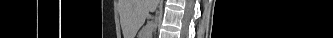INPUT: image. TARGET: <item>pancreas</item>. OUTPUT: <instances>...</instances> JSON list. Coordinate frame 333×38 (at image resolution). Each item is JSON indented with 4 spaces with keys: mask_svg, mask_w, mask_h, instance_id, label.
I'll return each mask as SVG.
<instances>
[{
    "mask_svg": "<svg viewBox=\"0 0 333 38\" xmlns=\"http://www.w3.org/2000/svg\"><path fill=\"white\" fill-rule=\"evenodd\" d=\"M152 25L148 24L140 33L141 36H146L148 32L152 30Z\"/></svg>",
    "mask_w": 333,
    "mask_h": 38,
    "instance_id": "pancreas-1",
    "label": "pancreas"
}]
</instances>
